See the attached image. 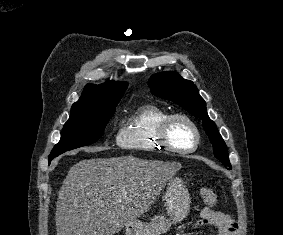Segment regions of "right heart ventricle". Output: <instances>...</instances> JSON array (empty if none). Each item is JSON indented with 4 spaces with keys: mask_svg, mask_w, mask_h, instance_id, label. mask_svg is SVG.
I'll return each mask as SVG.
<instances>
[{
    "mask_svg": "<svg viewBox=\"0 0 283 235\" xmlns=\"http://www.w3.org/2000/svg\"><path fill=\"white\" fill-rule=\"evenodd\" d=\"M170 113L157 104L138 107L127 119L118 134L120 146L138 151L163 149L157 131L161 122Z\"/></svg>",
    "mask_w": 283,
    "mask_h": 235,
    "instance_id": "e07e8e85",
    "label": "right heart ventricle"
}]
</instances>
